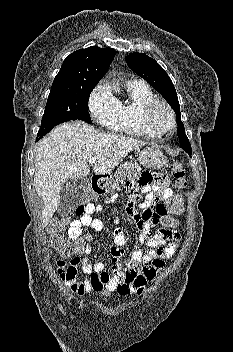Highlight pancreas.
<instances>
[{"mask_svg": "<svg viewBox=\"0 0 233 352\" xmlns=\"http://www.w3.org/2000/svg\"><path fill=\"white\" fill-rule=\"evenodd\" d=\"M140 169V166L133 162H126L125 164L120 165L115 172L114 179L109 182L110 192L112 193L124 178H128L130 180L137 179Z\"/></svg>", "mask_w": 233, "mask_h": 352, "instance_id": "pancreas-1", "label": "pancreas"}]
</instances>
